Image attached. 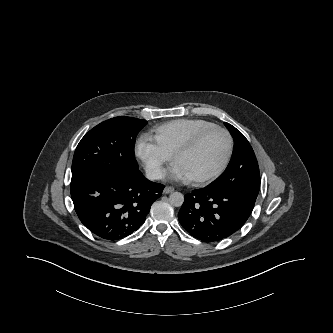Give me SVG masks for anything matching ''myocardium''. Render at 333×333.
Wrapping results in <instances>:
<instances>
[{
  "mask_svg": "<svg viewBox=\"0 0 333 333\" xmlns=\"http://www.w3.org/2000/svg\"><path fill=\"white\" fill-rule=\"evenodd\" d=\"M214 131H219L226 137V140H227L226 156H225L222 164L220 165V167L217 170H215L213 173H211L207 176H203V177L189 178V181L194 184H197V185L209 184V183L213 182L214 180H216L218 177H220L224 173V171L227 169V167L231 161V158L233 155V150H234L233 138H232L231 134L229 133V131L219 125H214L209 128H206V129L200 131L199 133H197L187 143H185L180 148H178L175 151V153L173 154V162L176 163V161L178 160L179 157L194 150L207 135H209L210 133H212Z\"/></svg>",
  "mask_w": 333,
  "mask_h": 333,
  "instance_id": "myocardium-1",
  "label": "myocardium"
}]
</instances>
